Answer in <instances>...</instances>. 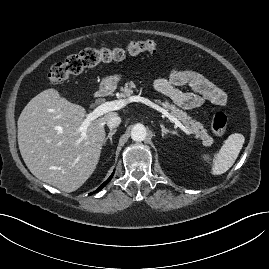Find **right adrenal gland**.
<instances>
[{"instance_id":"2a0ac1e0","label":"right adrenal gland","mask_w":269,"mask_h":269,"mask_svg":"<svg viewBox=\"0 0 269 269\" xmlns=\"http://www.w3.org/2000/svg\"><path fill=\"white\" fill-rule=\"evenodd\" d=\"M116 133V129L114 130H110L108 136L104 139V145L106 144L107 140L109 139L110 140V143L112 144L113 141H112V136Z\"/></svg>"}]
</instances>
